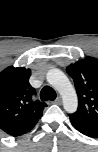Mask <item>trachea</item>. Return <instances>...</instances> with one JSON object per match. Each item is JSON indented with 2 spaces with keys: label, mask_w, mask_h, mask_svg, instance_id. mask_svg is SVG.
Listing matches in <instances>:
<instances>
[{
  "label": "trachea",
  "mask_w": 98,
  "mask_h": 152,
  "mask_svg": "<svg viewBox=\"0 0 98 152\" xmlns=\"http://www.w3.org/2000/svg\"><path fill=\"white\" fill-rule=\"evenodd\" d=\"M56 97L55 90L49 86H44L40 92L41 101L55 100Z\"/></svg>",
  "instance_id": "trachea-1"
}]
</instances>
